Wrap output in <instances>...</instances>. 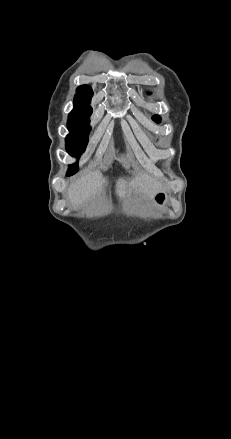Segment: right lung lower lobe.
I'll list each match as a JSON object with an SVG mask.
<instances>
[{"label":"right lung lower lobe","instance_id":"98d812e1","mask_svg":"<svg viewBox=\"0 0 231 439\" xmlns=\"http://www.w3.org/2000/svg\"><path fill=\"white\" fill-rule=\"evenodd\" d=\"M67 175H73V172H68Z\"/></svg>","mask_w":231,"mask_h":439}]
</instances>
